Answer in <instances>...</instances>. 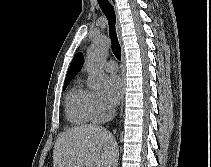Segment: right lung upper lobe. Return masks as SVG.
Returning a JSON list of instances; mask_svg holds the SVG:
<instances>
[{
	"mask_svg": "<svg viewBox=\"0 0 211 167\" xmlns=\"http://www.w3.org/2000/svg\"><path fill=\"white\" fill-rule=\"evenodd\" d=\"M84 63V58L83 55L81 53H78L74 56L70 67L68 69L66 78H65V82L66 81H71L72 77L81 70L82 66Z\"/></svg>",
	"mask_w": 211,
	"mask_h": 167,
	"instance_id": "cb5924a9",
	"label": "right lung upper lobe"
}]
</instances>
